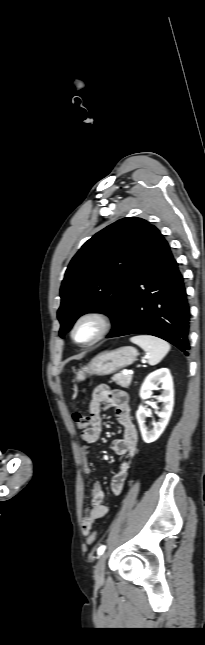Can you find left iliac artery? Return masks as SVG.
I'll return each mask as SVG.
<instances>
[{
  "instance_id": "left-iliac-artery-1",
  "label": "left iliac artery",
  "mask_w": 205,
  "mask_h": 645,
  "mask_svg": "<svg viewBox=\"0 0 205 645\" xmlns=\"http://www.w3.org/2000/svg\"><path fill=\"white\" fill-rule=\"evenodd\" d=\"M105 549H106L105 545L100 546L98 548V550H97L98 555H102L104 553Z\"/></svg>"
}]
</instances>
